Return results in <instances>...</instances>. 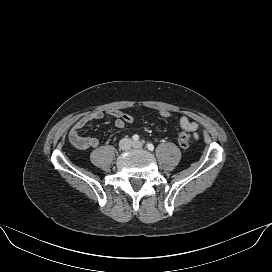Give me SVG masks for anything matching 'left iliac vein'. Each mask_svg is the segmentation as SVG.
<instances>
[{
  "mask_svg": "<svg viewBox=\"0 0 272 272\" xmlns=\"http://www.w3.org/2000/svg\"><path fill=\"white\" fill-rule=\"evenodd\" d=\"M133 146L136 147V148H141L143 145L140 141H137V142H134L133 143Z\"/></svg>",
  "mask_w": 272,
  "mask_h": 272,
  "instance_id": "4c4485c4",
  "label": "left iliac vein"
}]
</instances>
